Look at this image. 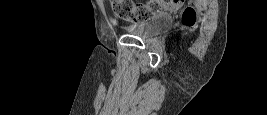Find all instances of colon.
<instances>
[{"mask_svg":"<svg viewBox=\"0 0 267 115\" xmlns=\"http://www.w3.org/2000/svg\"><path fill=\"white\" fill-rule=\"evenodd\" d=\"M113 10L121 19L142 22L153 15L161 14L164 8L159 3H134L129 0H114ZM182 20L186 25H193L196 22V12L188 7L183 11Z\"/></svg>","mask_w":267,"mask_h":115,"instance_id":"colon-1","label":"colon"}]
</instances>
